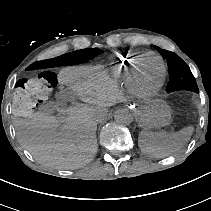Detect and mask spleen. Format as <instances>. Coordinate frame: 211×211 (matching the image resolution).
I'll return each mask as SVG.
<instances>
[{"label": "spleen", "mask_w": 211, "mask_h": 211, "mask_svg": "<svg viewBox=\"0 0 211 211\" xmlns=\"http://www.w3.org/2000/svg\"><path fill=\"white\" fill-rule=\"evenodd\" d=\"M193 128L188 127L176 133L165 131H140L138 145L142 152L153 157H165L187 143Z\"/></svg>", "instance_id": "obj_1"}]
</instances>
